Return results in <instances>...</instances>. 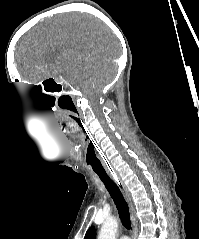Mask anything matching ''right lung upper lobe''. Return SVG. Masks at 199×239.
I'll list each match as a JSON object with an SVG mask.
<instances>
[{
	"instance_id": "right-lung-upper-lobe-1",
	"label": "right lung upper lobe",
	"mask_w": 199,
	"mask_h": 239,
	"mask_svg": "<svg viewBox=\"0 0 199 239\" xmlns=\"http://www.w3.org/2000/svg\"><path fill=\"white\" fill-rule=\"evenodd\" d=\"M84 239H95V228L94 227L89 228Z\"/></svg>"
}]
</instances>
